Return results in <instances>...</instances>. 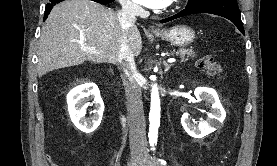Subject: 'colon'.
Returning <instances> with one entry per match:
<instances>
[{"label":"colon","mask_w":277,"mask_h":166,"mask_svg":"<svg viewBox=\"0 0 277 166\" xmlns=\"http://www.w3.org/2000/svg\"><path fill=\"white\" fill-rule=\"evenodd\" d=\"M197 65L212 76L219 75L222 72V64L209 54L200 57L197 60Z\"/></svg>","instance_id":"colon-1"}]
</instances>
